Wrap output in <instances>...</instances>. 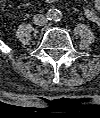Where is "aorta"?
<instances>
[{
	"instance_id": "obj_1",
	"label": "aorta",
	"mask_w": 100,
	"mask_h": 118,
	"mask_svg": "<svg viewBox=\"0 0 100 118\" xmlns=\"http://www.w3.org/2000/svg\"><path fill=\"white\" fill-rule=\"evenodd\" d=\"M47 17L51 21H60L62 19V13L58 9H50L47 13Z\"/></svg>"
}]
</instances>
